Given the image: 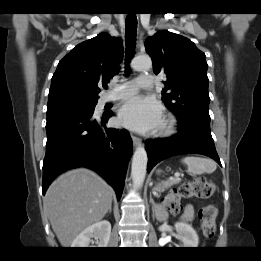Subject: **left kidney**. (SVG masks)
Here are the masks:
<instances>
[{
  "label": "left kidney",
  "mask_w": 261,
  "mask_h": 261,
  "mask_svg": "<svg viewBox=\"0 0 261 261\" xmlns=\"http://www.w3.org/2000/svg\"><path fill=\"white\" fill-rule=\"evenodd\" d=\"M178 237L181 244L178 247L196 248L199 244V238L194 228L185 222H176L175 224Z\"/></svg>",
  "instance_id": "left-kidney-1"
}]
</instances>
